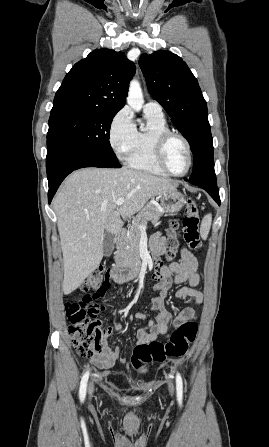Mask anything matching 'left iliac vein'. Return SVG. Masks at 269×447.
I'll return each instance as SVG.
<instances>
[{
    "label": "left iliac vein",
    "instance_id": "obj_1",
    "mask_svg": "<svg viewBox=\"0 0 269 447\" xmlns=\"http://www.w3.org/2000/svg\"><path fill=\"white\" fill-rule=\"evenodd\" d=\"M169 390H170V392H173V386L171 383L169 384Z\"/></svg>",
    "mask_w": 269,
    "mask_h": 447
}]
</instances>
